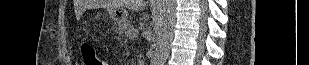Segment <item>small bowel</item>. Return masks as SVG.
Here are the masks:
<instances>
[{"label":"small bowel","mask_w":309,"mask_h":65,"mask_svg":"<svg viewBox=\"0 0 309 65\" xmlns=\"http://www.w3.org/2000/svg\"><path fill=\"white\" fill-rule=\"evenodd\" d=\"M103 65H108V63H106V62H103Z\"/></svg>","instance_id":"1"}]
</instances>
